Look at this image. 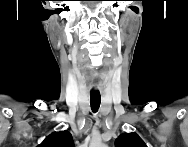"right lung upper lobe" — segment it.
<instances>
[{"mask_svg":"<svg viewBox=\"0 0 188 147\" xmlns=\"http://www.w3.org/2000/svg\"><path fill=\"white\" fill-rule=\"evenodd\" d=\"M40 147H74V143L68 131L54 132L46 137Z\"/></svg>","mask_w":188,"mask_h":147,"instance_id":"1","label":"right lung upper lobe"}]
</instances>
